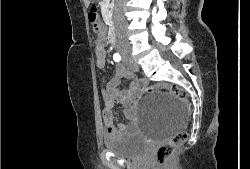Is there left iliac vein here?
<instances>
[{"label":"left iliac vein","mask_w":250,"mask_h":169,"mask_svg":"<svg viewBox=\"0 0 250 169\" xmlns=\"http://www.w3.org/2000/svg\"><path fill=\"white\" fill-rule=\"evenodd\" d=\"M128 69L130 71L136 72L138 70V65L134 61L128 62Z\"/></svg>","instance_id":"1"}]
</instances>
